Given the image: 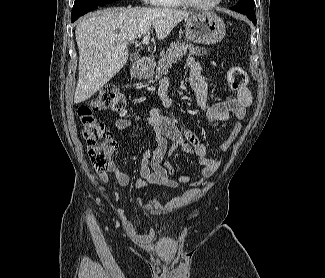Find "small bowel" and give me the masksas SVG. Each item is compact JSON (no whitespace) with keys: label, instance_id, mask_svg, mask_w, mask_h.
<instances>
[{"label":"small bowel","instance_id":"small-bowel-1","mask_svg":"<svg viewBox=\"0 0 325 278\" xmlns=\"http://www.w3.org/2000/svg\"><path fill=\"white\" fill-rule=\"evenodd\" d=\"M189 70V82L195 95L196 105L205 114L210 125H218L227 122L231 117H235L237 122L222 142V151L230 149L242 128V120L246 115L247 108L251 105L252 94L247 86L236 90L234 98L208 103V88L201 74L200 61L194 57H189L186 61ZM159 97L164 108H153L144 118L154 129L156 134V144L152 149L143 153L140 164V178L136 179L135 186L143 189L149 185H164L176 187L179 183H190L193 179L191 173H177L170 165L167 158L180 148L183 151L194 155L201 167L202 179L191 183L197 187L204 183L218 168L220 161L208 156L206 146L199 140L197 135L180 124L177 117L171 112L172 100L168 95V81L163 80L159 87ZM142 119L139 115L129 118H122L115 121L114 126L118 131H126L134 128ZM168 142L171 146L168 147ZM113 175L118 184L126 187L130 184V176L124 172L114 161L105 172L100 173L102 182L107 183Z\"/></svg>","mask_w":325,"mask_h":278}]
</instances>
